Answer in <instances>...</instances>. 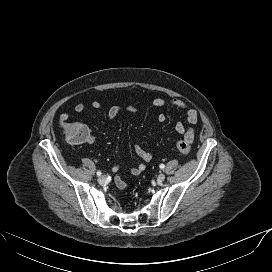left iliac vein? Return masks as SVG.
<instances>
[{
    "instance_id": "1",
    "label": "left iliac vein",
    "mask_w": 272,
    "mask_h": 272,
    "mask_svg": "<svg viewBox=\"0 0 272 272\" xmlns=\"http://www.w3.org/2000/svg\"><path fill=\"white\" fill-rule=\"evenodd\" d=\"M165 180V175L163 173L159 174L157 177V181L159 183L163 182Z\"/></svg>"
}]
</instances>
